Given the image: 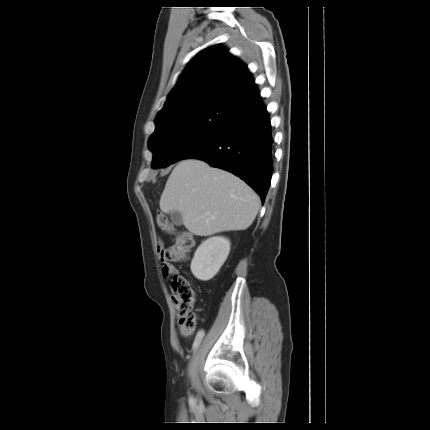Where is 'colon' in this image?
<instances>
[{
    "label": "colon",
    "mask_w": 430,
    "mask_h": 430,
    "mask_svg": "<svg viewBox=\"0 0 430 430\" xmlns=\"http://www.w3.org/2000/svg\"><path fill=\"white\" fill-rule=\"evenodd\" d=\"M157 224L162 230L175 233L174 226L165 214H157ZM193 247L194 239L190 234L178 233L173 244L167 247L158 245L159 257L166 258V263L180 262L187 257ZM170 286L179 331L183 336L190 337L197 326V317L194 312L195 291L188 279L178 273L172 275Z\"/></svg>",
    "instance_id": "5ec220e1"
}]
</instances>
